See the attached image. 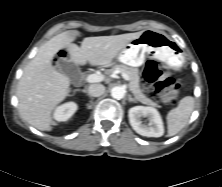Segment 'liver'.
<instances>
[{
	"label": "liver",
	"mask_w": 222,
	"mask_h": 187,
	"mask_svg": "<svg viewBox=\"0 0 222 187\" xmlns=\"http://www.w3.org/2000/svg\"><path fill=\"white\" fill-rule=\"evenodd\" d=\"M143 31L112 36L86 37L81 47L73 44L78 31H65L43 44L25 67L18 83L17 98L21 117L41 131L50 129L52 112L71 92L70 80L58 72L51 61L56 53L67 49L74 63L107 65Z\"/></svg>",
	"instance_id": "obj_1"
}]
</instances>
